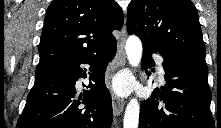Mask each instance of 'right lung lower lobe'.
<instances>
[{"label":"right lung lower lobe","mask_w":221,"mask_h":128,"mask_svg":"<svg viewBox=\"0 0 221 128\" xmlns=\"http://www.w3.org/2000/svg\"><path fill=\"white\" fill-rule=\"evenodd\" d=\"M116 41L93 55L73 57L36 72L17 128H110L113 111L104 74L116 54ZM90 65L89 90L76 95V80L87 77L80 64Z\"/></svg>","instance_id":"98d812e1"}]
</instances>
